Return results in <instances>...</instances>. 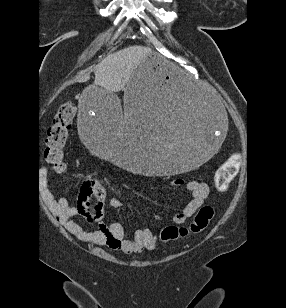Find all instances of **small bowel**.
Wrapping results in <instances>:
<instances>
[{"instance_id": "1", "label": "small bowel", "mask_w": 286, "mask_h": 308, "mask_svg": "<svg viewBox=\"0 0 286 308\" xmlns=\"http://www.w3.org/2000/svg\"><path fill=\"white\" fill-rule=\"evenodd\" d=\"M175 184H185L192 195L185 208L172 219L175 224H183L205 202L209 194V186L202 181H184L183 179H177ZM104 195L105 189L102 184L97 180H89L80 187L75 205H70L63 197H53L49 205L67 230L83 241L105 245L126 254L154 249L157 246V238L149 229H137L133 239H127L122 224L116 220H112L109 224L101 223L94 231H88L83 225L73 220L74 217L81 215L88 221H100L104 215ZM108 205L110 211L114 212L122 207V202L119 198L113 197Z\"/></svg>"}]
</instances>
